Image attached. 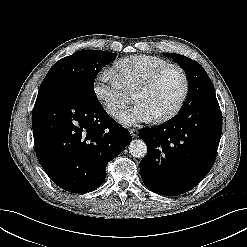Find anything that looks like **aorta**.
Listing matches in <instances>:
<instances>
[{
	"instance_id": "obj_1",
	"label": "aorta",
	"mask_w": 247,
	"mask_h": 247,
	"mask_svg": "<svg viewBox=\"0 0 247 247\" xmlns=\"http://www.w3.org/2000/svg\"><path fill=\"white\" fill-rule=\"evenodd\" d=\"M129 152L136 158H144L147 154V145L141 139L132 140L129 144Z\"/></svg>"
}]
</instances>
